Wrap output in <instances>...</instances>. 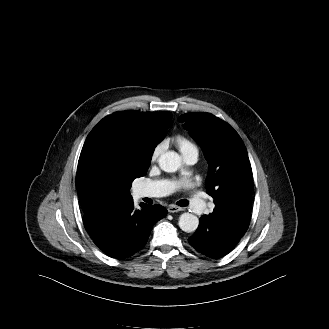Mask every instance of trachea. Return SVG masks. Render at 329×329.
<instances>
[{"label": "trachea", "instance_id": "3493384b", "mask_svg": "<svg viewBox=\"0 0 329 329\" xmlns=\"http://www.w3.org/2000/svg\"><path fill=\"white\" fill-rule=\"evenodd\" d=\"M177 204H178L179 206H183V207H185V206L188 205V202H187V200H180Z\"/></svg>", "mask_w": 329, "mask_h": 329}]
</instances>
